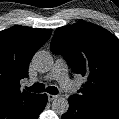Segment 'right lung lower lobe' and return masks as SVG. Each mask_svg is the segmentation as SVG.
<instances>
[{
    "label": "right lung lower lobe",
    "mask_w": 119,
    "mask_h": 119,
    "mask_svg": "<svg viewBox=\"0 0 119 119\" xmlns=\"http://www.w3.org/2000/svg\"><path fill=\"white\" fill-rule=\"evenodd\" d=\"M47 103V95H41L40 101L35 109V111L32 113L29 119H38L39 114L43 111Z\"/></svg>",
    "instance_id": "right-lung-lower-lobe-1"
}]
</instances>
